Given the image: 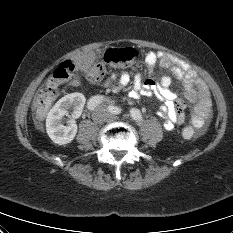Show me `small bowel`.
<instances>
[{
  "label": "small bowel",
  "instance_id": "obj_1",
  "mask_svg": "<svg viewBox=\"0 0 233 233\" xmlns=\"http://www.w3.org/2000/svg\"><path fill=\"white\" fill-rule=\"evenodd\" d=\"M77 63L81 70H85L90 64V58L78 57ZM157 63L184 82L186 98L195 103L190 111V120L193 126L203 128L211 113V95L205 82L189 66L175 61L162 51H150L145 55V64L148 69H153ZM130 82V74L127 71H121L112 73L104 81V86L117 92ZM72 83L78 85L79 78L75 77ZM170 85L171 78L167 75L159 81H154L153 79L143 80L141 74L137 73L134 76L131 91L132 98L140 95H156L162 101L158 115L164 119L163 126L168 131L183 122L186 108L185 103L171 90Z\"/></svg>",
  "mask_w": 233,
  "mask_h": 233
}]
</instances>
